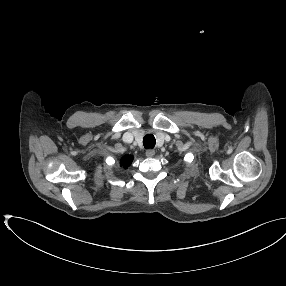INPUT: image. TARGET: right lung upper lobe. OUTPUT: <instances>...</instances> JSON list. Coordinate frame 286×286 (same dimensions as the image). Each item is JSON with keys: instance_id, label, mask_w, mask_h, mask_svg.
Instances as JSON below:
<instances>
[{"instance_id": "obj_1", "label": "right lung upper lobe", "mask_w": 286, "mask_h": 286, "mask_svg": "<svg viewBox=\"0 0 286 286\" xmlns=\"http://www.w3.org/2000/svg\"><path fill=\"white\" fill-rule=\"evenodd\" d=\"M132 161H133V156L126 155L121 159V165L122 167L127 168L128 166H130Z\"/></svg>"}]
</instances>
